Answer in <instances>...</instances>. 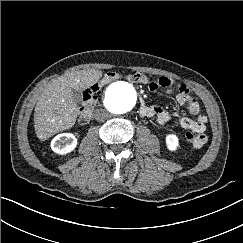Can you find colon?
Wrapping results in <instances>:
<instances>
[{
	"label": "colon",
	"instance_id": "colon-1",
	"mask_svg": "<svg viewBox=\"0 0 243 243\" xmlns=\"http://www.w3.org/2000/svg\"><path fill=\"white\" fill-rule=\"evenodd\" d=\"M119 77H121L120 74L116 72H109L105 74V76L99 84H95L85 90V92L83 93V104L80 108L78 116L80 123H87L91 119L94 106L96 104L98 95L100 94L101 85L108 83L112 80L118 79ZM126 79L133 83H148V78L146 77V75L140 72L129 74L126 76ZM185 138L192 145L198 142L197 135L193 134L192 132H187L185 134Z\"/></svg>",
	"mask_w": 243,
	"mask_h": 243
}]
</instances>
